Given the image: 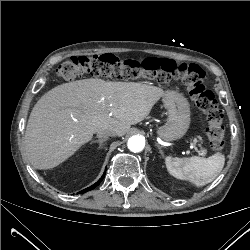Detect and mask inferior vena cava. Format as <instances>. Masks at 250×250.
<instances>
[{"mask_svg": "<svg viewBox=\"0 0 250 250\" xmlns=\"http://www.w3.org/2000/svg\"><path fill=\"white\" fill-rule=\"evenodd\" d=\"M116 132L115 130H112V129H108V130H99L97 131V136L99 138H105V137H109V136H116Z\"/></svg>", "mask_w": 250, "mask_h": 250, "instance_id": "602c4592", "label": "inferior vena cava"}]
</instances>
